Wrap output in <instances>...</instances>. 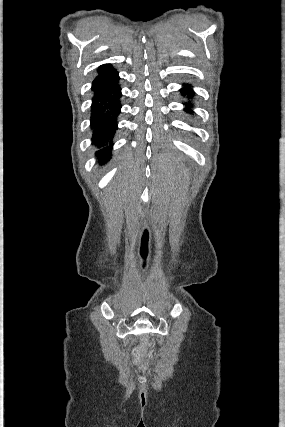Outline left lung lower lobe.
<instances>
[{"label": "left lung lower lobe", "instance_id": "obj_1", "mask_svg": "<svg viewBox=\"0 0 285 427\" xmlns=\"http://www.w3.org/2000/svg\"><path fill=\"white\" fill-rule=\"evenodd\" d=\"M180 92H181L182 95H184V96H186L188 98H192L194 96V92L190 88V85H188V84L185 87H183L180 90ZM185 105H186L185 111L191 113L190 108L192 107V104L191 103H185Z\"/></svg>", "mask_w": 285, "mask_h": 427}]
</instances>
